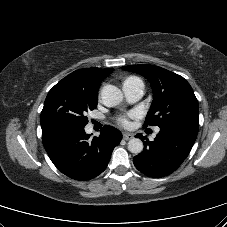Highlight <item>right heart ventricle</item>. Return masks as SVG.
Returning a JSON list of instances; mask_svg holds the SVG:
<instances>
[{
  "label": "right heart ventricle",
  "mask_w": 227,
  "mask_h": 227,
  "mask_svg": "<svg viewBox=\"0 0 227 227\" xmlns=\"http://www.w3.org/2000/svg\"><path fill=\"white\" fill-rule=\"evenodd\" d=\"M129 79H136L135 77H129V78H127L126 80H129Z\"/></svg>",
  "instance_id": "1"
}]
</instances>
